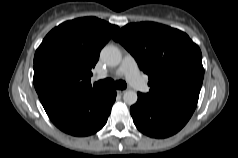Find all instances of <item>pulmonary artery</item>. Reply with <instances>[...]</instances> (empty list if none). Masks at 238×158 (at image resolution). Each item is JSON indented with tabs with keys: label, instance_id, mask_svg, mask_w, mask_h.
Returning a JSON list of instances; mask_svg holds the SVG:
<instances>
[{
	"label": "pulmonary artery",
	"instance_id": "obj_1",
	"mask_svg": "<svg viewBox=\"0 0 238 158\" xmlns=\"http://www.w3.org/2000/svg\"><path fill=\"white\" fill-rule=\"evenodd\" d=\"M114 75H125L130 84L136 89L142 92H146L148 90V87L144 84L141 78L136 60L129 54L124 56L121 65L116 69ZM99 78V76L95 77V79Z\"/></svg>",
	"mask_w": 238,
	"mask_h": 158
}]
</instances>
